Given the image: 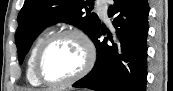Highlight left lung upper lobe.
<instances>
[{
	"label": "left lung upper lobe",
	"instance_id": "1",
	"mask_svg": "<svg viewBox=\"0 0 173 91\" xmlns=\"http://www.w3.org/2000/svg\"><path fill=\"white\" fill-rule=\"evenodd\" d=\"M93 0H25L18 15V29L15 35L19 62L22 63L31 43L48 25L66 21L80 27L92 38L100 19L95 13L87 12Z\"/></svg>",
	"mask_w": 173,
	"mask_h": 91
}]
</instances>
